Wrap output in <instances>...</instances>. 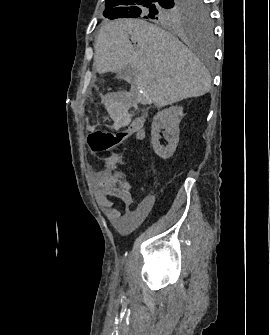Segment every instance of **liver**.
Here are the masks:
<instances>
[{"label": "liver", "instance_id": "6515ba94", "mask_svg": "<svg viewBox=\"0 0 270 335\" xmlns=\"http://www.w3.org/2000/svg\"><path fill=\"white\" fill-rule=\"evenodd\" d=\"M94 66L98 74L131 66L144 104L157 108L203 96L211 86L208 70L189 48L145 20L106 22L95 42Z\"/></svg>", "mask_w": 270, "mask_h": 335}]
</instances>
